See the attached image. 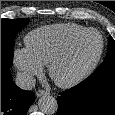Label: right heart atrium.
<instances>
[{
  "mask_svg": "<svg viewBox=\"0 0 115 115\" xmlns=\"http://www.w3.org/2000/svg\"><path fill=\"white\" fill-rule=\"evenodd\" d=\"M13 62L25 81L39 76L43 71L42 65L33 58L26 48H18L14 51Z\"/></svg>",
  "mask_w": 115,
  "mask_h": 115,
  "instance_id": "d8ad5b80",
  "label": "right heart atrium"
}]
</instances>
